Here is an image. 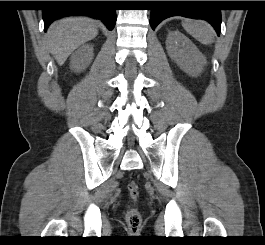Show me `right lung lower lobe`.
<instances>
[{"instance_id": "obj_1", "label": "right lung lower lobe", "mask_w": 265, "mask_h": 245, "mask_svg": "<svg viewBox=\"0 0 265 245\" xmlns=\"http://www.w3.org/2000/svg\"><path fill=\"white\" fill-rule=\"evenodd\" d=\"M54 8L42 10L44 29L56 19L70 15H84L100 19L109 30L116 23V10L112 1H53Z\"/></svg>"}]
</instances>
